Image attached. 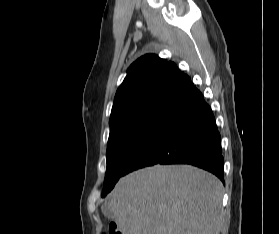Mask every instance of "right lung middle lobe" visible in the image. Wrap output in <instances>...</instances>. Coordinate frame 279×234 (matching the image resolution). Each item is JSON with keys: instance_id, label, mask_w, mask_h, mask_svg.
<instances>
[{"instance_id": "obj_1", "label": "right lung middle lobe", "mask_w": 279, "mask_h": 234, "mask_svg": "<svg viewBox=\"0 0 279 234\" xmlns=\"http://www.w3.org/2000/svg\"><path fill=\"white\" fill-rule=\"evenodd\" d=\"M167 106H149L110 119L107 144V169L102 191L105 197L124 175V169L144 139L168 112Z\"/></svg>"}]
</instances>
